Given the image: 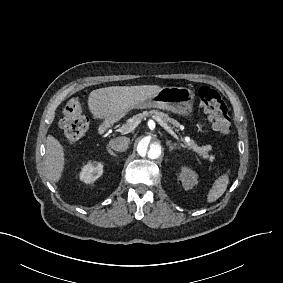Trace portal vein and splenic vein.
Returning <instances> with one entry per match:
<instances>
[{"mask_svg": "<svg viewBox=\"0 0 283 283\" xmlns=\"http://www.w3.org/2000/svg\"><path fill=\"white\" fill-rule=\"evenodd\" d=\"M153 119L155 121H157L160 126H162L169 134H171L175 139H178L177 134L167 125V123H165L162 119H160L159 117H153ZM139 124V122H137L134 126L131 127H124L122 126V130L124 131L125 134L131 132L132 130H134L136 128V126Z\"/></svg>", "mask_w": 283, "mask_h": 283, "instance_id": "18ae733b", "label": "portal vein and splenic vein"}]
</instances>
